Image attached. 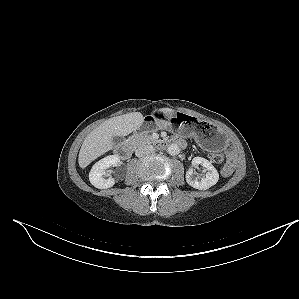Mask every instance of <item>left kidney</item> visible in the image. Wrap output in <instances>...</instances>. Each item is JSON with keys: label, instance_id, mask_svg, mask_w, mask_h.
I'll return each mask as SVG.
<instances>
[{"label": "left kidney", "instance_id": "5707ae66", "mask_svg": "<svg viewBox=\"0 0 299 299\" xmlns=\"http://www.w3.org/2000/svg\"><path fill=\"white\" fill-rule=\"evenodd\" d=\"M200 164L207 170L206 175L199 181L198 177L195 176L193 169L190 168L186 172V182L195 189L206 190L218 182L219 174L216 168L207 159L194 157L192 160V166L195 167Z\"/></svg>", "mask_w": 299, "mask_h": 299}]
</instances>
